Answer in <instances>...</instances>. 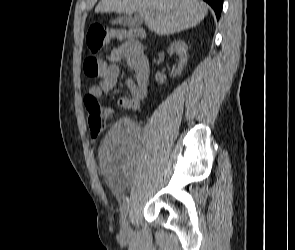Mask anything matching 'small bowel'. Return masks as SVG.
Instances as JSON below:
<instances>
[{"mask_svg": "<svg viewBox=\"0 0 295 250\" xmlns=\"http://www.w3.org/2000/svg\"><path fill=\"white\" fill-rule=\"evenodd\" d=\"M111 63L103 62L100 81L92 86L88 95L100 99L111 91L119 77L118 63L125 61L134 73L127 80L130 97H121L118 105L128 110H138L149 84V63L141 45L136 41H125L112 49L108 55ZM109 113L111 108L105 107ZM138 155V132L128 120L116 122L107 133L100 149V166L109 186L115 192L124 190L133 173L134 163Z\"/></svg>", "mask_w": 295, "mask_h": 250, "instance_id": "obj_1", "label": "small bowel"}]
</instances>
